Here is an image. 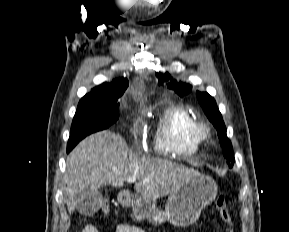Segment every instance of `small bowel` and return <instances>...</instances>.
<instances>
[{
	"mask_svg": "<svg viewBox=\"0 0 289 232\" xmlns=\"http://www.w3.org/2000/svg\"><path fill=\"white\" fill-rule=\"evenodd\" d=\"M82 232H99L94 225H87L83 228ZM115 232H146L140 226L133 223H121L116 227Z\"/></svg>",
	"mask_w": 289,
	"mask_h": 232,
	"instance_id": "small-bowel-1",
	"label": "small bowel"
}]
</instances>
